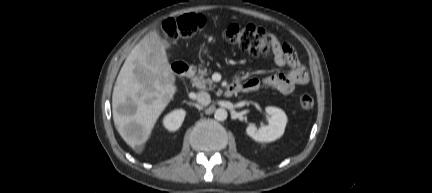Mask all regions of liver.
<instances>
[{
  "instance_id": "liver-1",
  "label": "liver",
  "mask_w": 432,
  "mask_h": 193,
  "mask_svg": "<svg viewBox=\"0 0 432 193\" xmlns=\"http://www.w3.org/2000/svg\"><path fill=\"white\" fill-rule=\"evenodd\" d=\"M176 90L165 46L152 31L127 56L112 94L115 127L136 152L150 138L157 119ZM127 105L133 107L131 112L118 111Z\"/></svg>"
}]
</instances>
